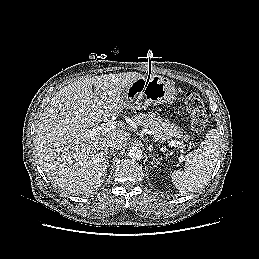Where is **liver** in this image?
Masks as SVG:
<instances>
[{
    "instance_id": "1",
    "label": "liver",
    "mask_w": 259,
    "mask_h": 259,
    "mask_svg": "<svg viewBox=\"0 0 259 259\" xmlns=\"http://www.w3.org/2000/svg\"><path fill=\"white\" fill-rule=\"evenodd\" d=\"M140 77L138 72H127L82 78L51 99L39 119L33 142L39 163L54 185L74 194L90 193L102 185L108 165V140L118 138L125 146L131 134L124 122L93 138L88 128L127 109L122 91Z\"/></svg>"
}]
</instances>
